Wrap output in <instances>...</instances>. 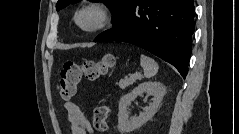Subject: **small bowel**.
Returning a JSON list of instances; mask_svg holds the SVG:
<instances>
[{
	"label": "small bowel",
	"mask_w": 239,
	"mask_h": 134,
	"mask_svg": "<svg viewBox=\"0 0 239 134\" xmlns=\"http://www.w3.org/2000/svg\"><path fill=\"white\" fill-rule=\"evenodd\" d=\"M72 134H93V129L80 107L73 101L65 103Z\"/></svg>",
	"instance_id": "c3829d8e"
}]
</instances>
